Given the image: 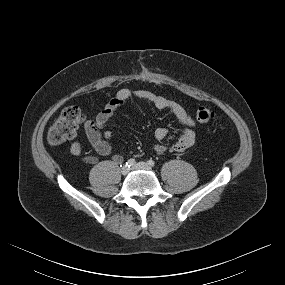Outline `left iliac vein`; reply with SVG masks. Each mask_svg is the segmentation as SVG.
I'll return each mask as SVG.
<instances>
[{
    "mask_svg": "<svg viewBox=\"0 0 285 285\" xmlns=\"http://www.w3.org/2000/svg\"><path fill=\"white\" fill-rule=\"evenodd\" d=\"M133 170H146V171H150L151 168L148 164H146L145 162H139L137 164H135L134 166H132Z\"/></svg>",
    "mask_w": 285,
    "mask_h": 285,
    "instance_id": "4c4485c4",
    "label": "left iliac vein"
}]
</instances>
